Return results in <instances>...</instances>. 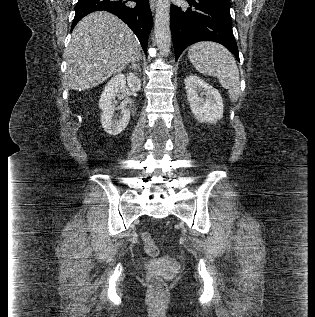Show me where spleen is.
Masks as SVG:
<instances>
[{"label": "spleen", "instance_id": "obj_1", "mask_svg": "<svg viewBox=\"0 0 315 317\" xmlns=\"http://www.w3.org/2000/svg\"><path fill=\"white\" fill-rule=\"evenodd\" d=\"M188 58L198 72L217 77L221 85L228 89L232 102H236L240 93V78L233 55L222 45L202 41L188 50Z\"/></svg>", "mask_w": 315, "mask_h": 317}]
</instances>
